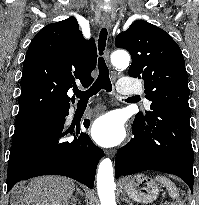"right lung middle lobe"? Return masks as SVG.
Masks as SVG:
<instances>
[{
	"instance_id": "right-lung-middle-lobe-1",
	"label": "right lung middle lobe",
	"mask_w": 199,
	"mask_h": 205,
	"mask_svg": "<svg viewBox=\"0 0 199 205\" xmlns=\"http://www.w3.org/2000/svg\"><path fill=\"white\" fill-rule=\"evenodd\" d=\"M64 109L44 111L16 118V127L13 135L14 138L21 137L41 126L59 123L62 119Z\"/></svg>"
}]
</instances>
